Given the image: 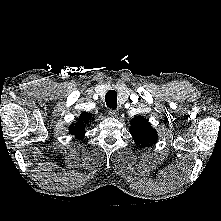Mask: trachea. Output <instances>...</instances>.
<instances>
[{
    "label": "trachea",
    "mask_w": 221,
    "mask_h": 221,
    "mask_svg": "<svg viewBox=\"0 0 221 221\" xmlns=\"http://www.w3.org/2000/svg\"><path fill=\"white\" fill-rule=\"evenodd\" d=\"M105 101L107 107L116 109L117 107V93L114 90H109L105 95Z\"/></svg>",
    "instance_id": "trachea-1"
}]
</instances>
